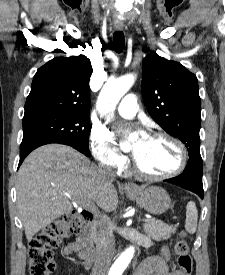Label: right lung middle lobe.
I'll return each mask as SVG.
<instances>
[{
    "instance_id": "dd1d6c3e",
    "label": "right lung middle lobe",
    "mask_w": 225,
    "mask_h": 275,
    "mask_svg": "<svg viewBox=\"0 0 225 275\" xmlns=\"http://www.w3.org/2000/svg\"><path fill=\"white\" fill-rule=\"evenodd\" d=\"M89 133L88 113L46 112L23 118V140L59 139L88 148Z\"/></svg>"
}]
</instances>
